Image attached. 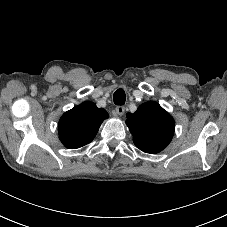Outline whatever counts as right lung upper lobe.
Listing matches in <instances>:
<instances>
[{"label": "right lung upper lobe", "instance_id": "cb5924a9", "mask_svg": "<svg viewBox=\"0 0 227 227\" xmlns=\"http://www.w3.org/2000/svg\"><path fill=\"white\" fill-rule=\"evenodd\" d=\"M106 118L108 114L103 108H98L93 102H84L65 112L60 118V141L67 148H80L94 139Z\"/></svg>", "mask_w": 227, "mask_h": 227}]
</instances>
